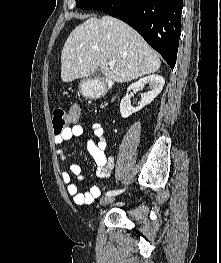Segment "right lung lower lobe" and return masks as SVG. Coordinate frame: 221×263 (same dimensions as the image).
Instances as JSON below:
<instances>
[{
	"label": "right lung lower lobe",
	"instance_id": "obj_1",
	"mask_svg": "<svg viewBox=\"0 0 221 263\" xmlns=\"http://www.w3.org/2000/svg\"><path fill=\"white\" fill-rule=\"evenodd\" d=\"M183 0H103L94 9L133 27L173 69L181 34Z\"/></svg>",
	"mask_w": 221,
	"mask_h": 263
}]
</instances>
